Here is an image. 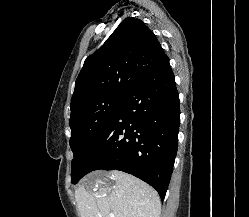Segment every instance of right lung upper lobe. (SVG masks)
Returning a JSON list of instances; mask_svg holds the SVG:
<instances>
[{"mask_svg":"<svg viewBox=\"0 0 249 217\" xmlns=\"http://www.w3.org/2000/svg\"><path fill=\"white\" fill-rule=\"evenodd\" d=\"M164 55L156 36L140 19H124L85 60L75 83L71 110L100 96H126Z\"/></svg>","mask_w":249,"mask_h":217,"instance_id":"obj_1","label":"right lung upper lobe"}]
</instances>
